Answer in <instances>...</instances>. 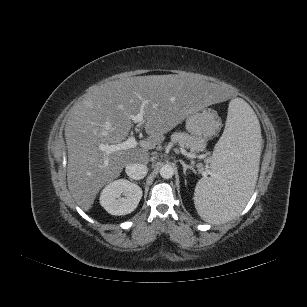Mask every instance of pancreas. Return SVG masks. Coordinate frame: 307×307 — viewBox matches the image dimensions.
Returning <instances> with one entry per match:
<instances>
[{
	"label": "pancreas",
	"mask_w": 307,
	"mask_h": 307,
	"mask_svg": "<svg viewBox=\"0 0 307 307\" xmlns=\"http://www.w3.org/2000/svg\"><path fill=\"white\" fill-rule=\"evenodd\" d=\"M171 141L178 143L182 148L189 149L191 152H198L204 148V140L201 137H195L186 132L173 133Z\"/></svg>",
	"instance_id": "obj_1"
}]
</instances>
